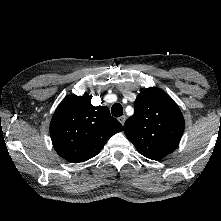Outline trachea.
<instances>
[{"instance_id": "1", "label": "trachea", "mask_w": 221, "mask_h": 221, "mask_svg": "<svg viewBox=\"0 0 221 221\" xmlns=\"http://www.w3.org/2000/svg\"><path fill=\"white\" fill-rule=\"evenodd\" d=\"M111 113L114 117H120L123 114V107L120 103L113 104Z\"/></svg>"}]
</instances>
